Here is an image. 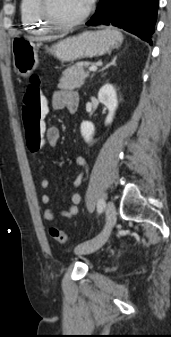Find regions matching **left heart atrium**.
<instances>
[{"mask_svg":"<svg viewBox=\"0 0 171 337\" xmlns=\"http://www.w3.org/2000/svg\"><path fill=\"white\" fill-rule=\"evenodd\" d=\"M87 5H90L94 0H85Z\"/></svg>","mask_w":171,"mask_h":337,"instance_id":"obj_1","label":"left heart atrium"}]
</instances>
